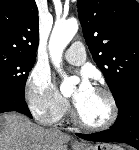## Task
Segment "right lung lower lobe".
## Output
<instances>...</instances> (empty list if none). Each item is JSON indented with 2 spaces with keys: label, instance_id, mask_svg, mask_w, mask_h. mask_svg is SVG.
I'll use <instances>...</instances> for the list:
<instances>
[{
  "label": "right lung lower lobe",
  "instance_id": "right-lung-lower-lobe-1",
  "mask_svg": "<svg viewBox=\"0 0 139 150\" xmlns=\"http://www.w3.org/2000/svg\"><path fill=\"white\" fill-rule=\"evenodd\" d=\"M9 111H16L32 118V115L25 102V96L0 90V113Z\"/></svg>",
  "mask_w": 139,
  "mask_h": 150
}]
</instances>
